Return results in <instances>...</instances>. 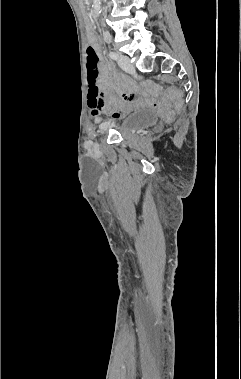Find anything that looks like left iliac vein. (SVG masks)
Returning a JSON list of instances; mask_svg holds the SVG:
<instances>
[{
  "mask_svg": "<svg viewBox=\"0 0 241 379\" xmlns=\"http://www.w3.org/2000/svg\"><path fill=\"white\" fill-rule=\"evenodd\" d=\"M119 66L128 73H134L135 68L130 62V58L126 55H120L117 60ZM106 127V125L104 126Z\"/></svg>",
  "mask_w": 241,
  "mask_h": 379,
  "instance_id": "1",
  "label": "left iliac vein"
}]
</instances>
